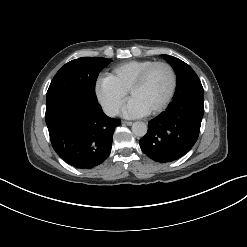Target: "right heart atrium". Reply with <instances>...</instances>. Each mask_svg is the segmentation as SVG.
<instances>
[{
	"label": "right heart atrium",
	"instance_id": "obj_1",
	"mask_svg": "<svg viewBox=\"0 0 247 247\" xmlns=\"http://www.w3.org/2000/svg\"><path fill=\"white\" fill-rule=\"evenodd\" d=\"M94 93L104 111L111 116L117 114L127 95V92L109 76H102L96 80Z\"/></svg>",
	"mask_w": 247,
	"mask_h": 247
}]
</instances>
